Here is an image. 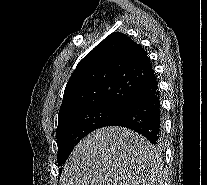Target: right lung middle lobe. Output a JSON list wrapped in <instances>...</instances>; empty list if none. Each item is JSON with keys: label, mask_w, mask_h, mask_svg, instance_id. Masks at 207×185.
I'll return each instance as SVG.
<instances>
[{"label": "right lung middle lobe", "mask_w": 207, "mask_h": 185, "mask_svg": "<svg viewBox=\"0 0 207 185\" xmlns=\"http://www.w3.org/2000/svg\"><path fill=\"white\" fill-rule=\"evenodd\" d=\"M121 106L103 104L77 112L58 122L56 132L58 165L63 166L75 145L92 131L105 127L115 118ZM60 173L62 168H60Z\"/></svg>", "instance_id": "right-lung-middle-lobe-1"}]
</instances>
